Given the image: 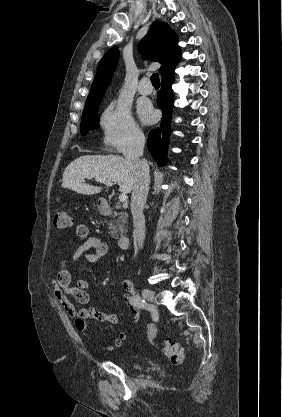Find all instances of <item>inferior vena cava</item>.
I'll list each match as a JSON object with an SVG mask.
<instances>
[{
    "instance_id": "obj_1",
    "label": "inferior vena cava",
    "mask_w": 282,
    "mask_h": 417,
    "mask_svg": "<svg viewBox=\"0 0 282 417\" xmlns=\"http://www.w3.org/2000/svg\"><path fill=\"white\" fill-rule=\"evenodd\" d=\"M145 144V136L141 130H132L130 140L123 148V154L133 164L134 184L131 194V215L133 217L134 237L139 249H142L145 241V217L143 215L144 204L149 190V168L145 160H141Z\"/></svg>"
}]
</instances>
